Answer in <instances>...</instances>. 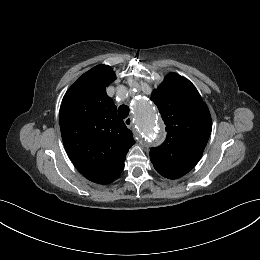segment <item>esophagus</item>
I'll return each mask as SVG.
<instances>
[{
    "label": "esophagus",
    "instance_id": "esophagus-1",
    "mask_svg": "<svg viewBox=\"0 0 260 260\" xmlns=\"http://www.w3.org/2000/svg\"><path fill=\"white\" fill-rule=\"evenodd\" d=\"M124 123L125 125L128 127V128H132L133 127V120L131 117H127L125 120H124Z\"/></svg>",
    "mask_w": 260,
    "mask_h": 260
}]
</instances>
